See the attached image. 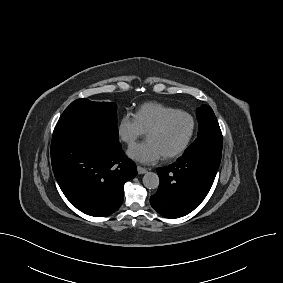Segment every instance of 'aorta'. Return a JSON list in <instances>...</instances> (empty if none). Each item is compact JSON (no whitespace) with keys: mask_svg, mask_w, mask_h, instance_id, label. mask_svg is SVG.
I'll list each match as a JSON object with an SVG mask.
<instances>
[{"mask_svg":"<svg viewBox=\"0 0 283 283\" xmlns=\"http://www.w3.org/2000/svg\"><path fill=\"white\" fill-rule=\"evenodd\" d=\"M159 177L156 173L147 172L143 177V184L148 189H155L159 186Z\"/></svg>","mask_w":283,"mask_h":283,"instance_id":"762f6f07","label":"aorta"}]
</instances>
